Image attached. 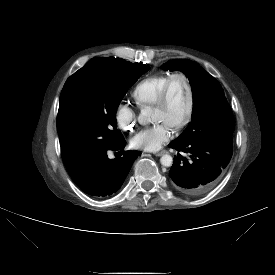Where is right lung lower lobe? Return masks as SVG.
<instances>
[{"instance_id": "1", "label": "right lung lower lobe", "mask_w": 275, "mask_h": 275, "mask_svg": "<svg viewBox=\"0 0 275 275\" xmlns=\"http://www.w3.org/2000/svg\"><path fill=\"white\" fill-rule=\"evenodd\" d=\"M124 147L123 138L109 150H123ZM140 154L138 151H125L122 158L109 159L106 151L76 160L67 170L83 192L91 196L105 197L122 186L134 160Z\"/></svg>"}]
</instances>
